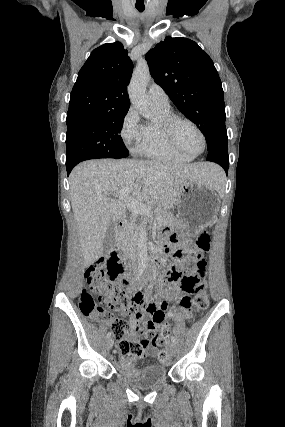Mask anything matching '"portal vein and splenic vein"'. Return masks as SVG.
Returning <instances> with one entry per match:
<instances>
[{"mask_svg": "<svg viewBox=\"0 0 285 427\" xmlns=\"http://www.w3.org/2000/svg\"><path fill=\"white\" fill-rule=\"evenodd\" d=\"M120 199L124 200L125 203L131 208V210L136 214H146L147 216H150L149 209L142 203L136 200L135 198L128 196L127 194L121 192L120 194L116 195Z\"/></svg>", "mask_w": 285, "mask_h": 427, "instance_id": "1", "label": "portal vein and splenic vein"}]
</instances>
